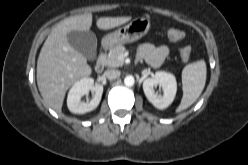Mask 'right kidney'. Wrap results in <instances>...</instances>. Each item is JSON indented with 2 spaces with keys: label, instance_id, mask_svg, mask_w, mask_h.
<instances>
[{
  "label": "right kidney",
  "instance_id": "1",
  "mask_svg": "<svg viewBox=\"0 0 248 165\" xmlns=\"http://www.w3.org/2000/svg\"><path fill=\"white\" fill-rule=\"evenodd\" d=\"M93 92V98L88 102L81 101L82 96L89 91ZM103 94V86L94 85L92 78H83L71 87L68 97L67 106L70 112L75 114H84L94 110L100 103Z\"/></svg>",
  "mask_w": 248,
  "mask_h": 165
}]
</instances>
